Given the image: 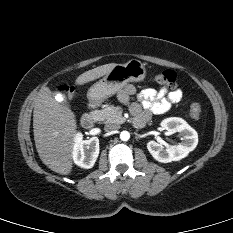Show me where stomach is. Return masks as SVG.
Listing matches in <instances>:
<instances>
[{
	"mask_svg": "<svg viewBox=\"0 0 233 233\" xmlns=\"http://www.w3.org/2000/svg\"><path fill=\"white\" fill-rule=\"evenodd\" d=\"M146 77L144 64L131 59L125 64H116L101 80L93 84L88 98L93 102L105 100L120 91L128 82L143 81Z\"/></svg>",
	"mask_w": 233,
	"mask_h": 233,
	"instance_id": "stomach-1",
	"label": "stomach"
}]
</instances>
